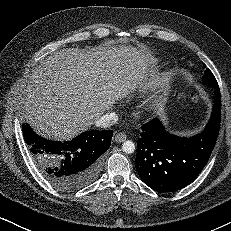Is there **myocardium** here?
Returning a JSON list of instances; mask_svg holds the SVG:
<instances>
[{"label":"myocardium","instance_id":"f54148a6","mask_svg":"<svg viewBox=\"0 0 231 231\" xmlns=\"http://www.w3.org/2000/svg\"><path fill=\"white\" fill-rule=\"evenodd\" d=\"M167 86V79H164L159 84V91L153 93L148 97V99L145 102V107L147 110L151 112H155L159 110L163 106V100H164V93Z\"/></svg>","mask_w":231,"mask_h":231}]
</instances>
